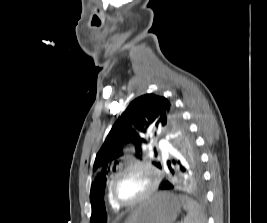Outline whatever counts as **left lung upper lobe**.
<instances>
[{
  "mask_svg": "<svg viewBox=\"0 0 267 223\" xmlns=\"http://www.w3.org/2000/svg\"><path fill=\"white\" fill-rule=\"evenodd\" d=\"M158 127L169 134L171 142L179 152L176 160L167 162L170 170L173 171L171 164H174L178 165L181 171H202L194 139L173 104L167 98L154 94L138 97L114 123L96 155L93 171L97 176L91 186L90 199H87V204H92V220L95 216L100 217L102 222L105 211H108V206L103 202L107 177L111 170L115 171V166L124 155L125 147L129 144L134 145L137 156L140 157L141 145L149 142L142 134ZM152 163L162 168L160 162Z\"/></svg>",
  "mask_w": 267,
  "mask_h": 223,
  "instance_id": "obj_1",
  "label": "left lung upper lobe"
}]
</instances>
